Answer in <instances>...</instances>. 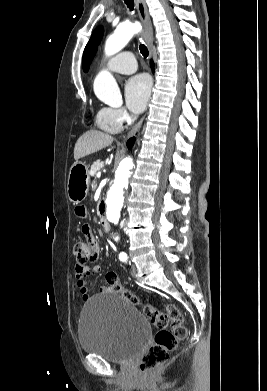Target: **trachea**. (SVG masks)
Masks as SVG:
<instances>
[{"mask_svg": "<svg viewBox=\"0 0 267 391\" xmlns=\"http://www.w3.org/2000/svg\"><path fill=\"white\" fill-rule=\"evenodd\" d=\"M127 7L132 11L134 9V0H124ZM140 53L146 58L148 56V49L144 44L139 46Z\"/></svg>", "mask_w": 267, "mask_h": 391, "instance_id": "obj_1", "label": "trachea"}]
</instances>
